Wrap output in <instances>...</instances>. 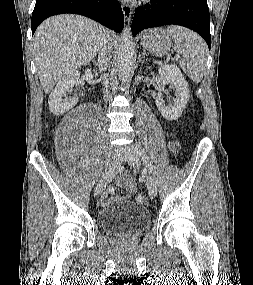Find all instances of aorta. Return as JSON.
Instances as JSON below:
<instances>
[{"label": "aorta", "mask_w": 253, "mask_h": 285, "mask_svg": "<svg viewBox=\"0 0 253 285\" xmlns=\"http://www.w3.org/2000/svg\"><path fill=\"white\" fill-rule=\"evenodd\" d=\"M134 53L131 28L126 27L123 30L118 51V75L121 81H125L130 76Z\"/></svg>", "instance_id": "1"}]
</instances>
